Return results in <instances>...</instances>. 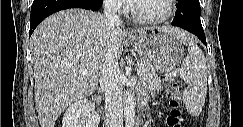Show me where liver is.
Masks as SVG:
<instances>
[{"label": "liver", "mask_w": 243, "mask_h": 127, "mask_svg": "<svg viewBox=\"0 0 243 127\" xmlns=\"http://www.w3.org/2000/svg\"><path fill=\"white\" fill-rule=\"evenodd\" d=\"M162 28L176 36L190 37L179 28ZM124 44L122 29L112 28L107 18L96 12L67 9L46 18L31 36L35 103L41 127H54L67 106L92 94L108 51L118 59ZM83 70L88 73L83 74Z\"/></svg>", "instance_id": "1"}]
</instances>
